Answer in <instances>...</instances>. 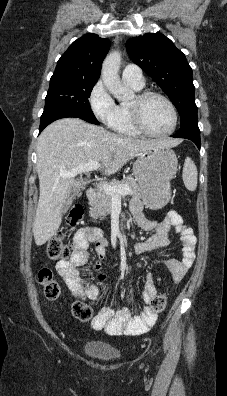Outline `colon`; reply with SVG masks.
<instances>
[{"instance_id": "obj_1", "label": "colon", "mask_w": 227, "mask_h": 396, "mask_svg": "<svg viewBox=\"0 0 227 396\" xmlns=\"http://www.w3.org/2000/svg\"><path fill=\"white\" fill-rule=\"evenodd\" d=\"M83 217V209L80 205H74L67 217V223L70 226H76ZM46 252L51 260L67 259L71 253V247L66 242L62 233L54 235L47 243ZM38 279L43 286L46 297L55 300L61 293V285L50 269L43 268L39 271ZM152 311L156 314L162 313L167 307V298L164 294L155 296L150 305ZM71 312L75 318L82 322H89L94 318V310L88 304L76 300L72 303Z\"/></svg>"}]
</instances>
